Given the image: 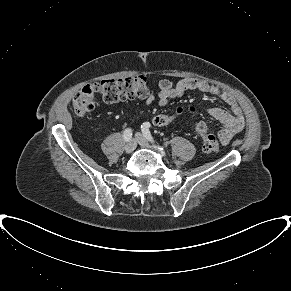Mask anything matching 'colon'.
<instances>
[{
  "mask_svg": "<svg viewBox=\"0 0 291 291\" xmlns=\"http://www.w3.org/2000/svg\"><path fill=\"white\" fill-rule=\"evenodd\" d=\"M149 94L148 80L144 76L104 80L87 85L76 93L72 100V107L78 116H85L94 110L100 101L116 103L137 98L144 99ZM185 111L184 108L179 107L172 114L156 115L153 118V122L157 126L168 125ZM188 111L192 112L193 110L189 109ZM194 128L196 133L202 138L204 151L218 152L220 150L218 136L213 133H208L207 127L203 122H197Z\"/></svg>",
  "mask_w": 291,
  "mask_h": 291,
  "instance_id": "1",
  "label": "colon"
}]
</instances>
